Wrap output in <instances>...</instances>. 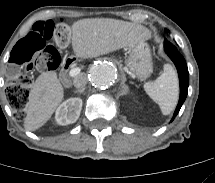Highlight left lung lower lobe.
Returning a JSON list of instances; mask_svg holds the SVG:
<instances>
[{"label":"left lung lower lobe","mask_w":215,"mask_h":183,"mask_svg":"<svg viewBox=\"0 0 215 183\" xmlns=\"http://www.w3.org/2000/svg\"><path fill=\"white\" fill-rule=\"evenodd\" d=\"M164 49L167 55L170 57V59L173 61V63L176 66V69L178 71V76H179V82H180V98H179V102L177 104L176 110L174 112V116L171 120L173 121L175 116L179 113L181 106L183 105L187 97L188 86H189V72H188L185 59L178 52V50L173 44L165 40Z\"/></svg>","instance_id":"left-lung-lower-lobe-1"}]
</instances>
